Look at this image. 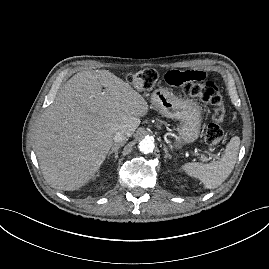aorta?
Here are the masks:
<instances>
[{"label":"aorta","instance_id":"obj_1","mask_svg":"<svg viewBox=\"0 0 269 269\" xmlns=\"http://www.w3.org/2000/svg\"><path fill=\"white\" fill-rule=\"evenodd\" d=\"M154 148V141L151 138H144L139 142V150L144 154L153 152Z\"/></svg>","mask_w":269,"mask_h":269}]
</instances>
